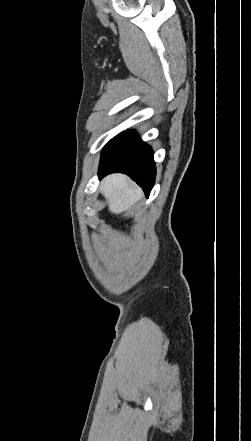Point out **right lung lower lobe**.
Masks as SVG:
<instances>
[{
    "instance_id": "right-lung-lower-lobe-1",
    "label": "right lung lower lobe",
    "mask_w": 251,
    "mask_h": 441,
    "mask_svg": "<svg viewBox=\"0 0 251 441\" xmlns=\"http://www.w3.org/2000/svg\"><path fill=\"white\" fill-rule=\"evenodd\" d=\"M113 172L129 175L143 188L148 197L156 175L153 150L137 137L135 131L124 132L105 145L101 155L99 177Z\"/></svg>"
}]
</instances>
